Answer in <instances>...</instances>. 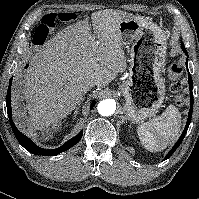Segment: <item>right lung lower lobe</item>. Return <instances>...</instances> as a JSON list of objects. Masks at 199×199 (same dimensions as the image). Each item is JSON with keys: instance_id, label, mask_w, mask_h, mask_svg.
Returning <instances> with one entry per match:
<instances>
[{"instance_id": "98d812e1", "label": "right lung lower lobe", "mask_w": 199, "mask_h": 199, "mask_svg": "<svg viewBox=\"0 0 199 199\" xmlns=\"http://www.w3.org/2000/svg\"><path fill=\"white\" fill-rule=\"evenodd\" d=\"M11 83H12V77H11L10 82H9L7 96H6L7 113H8V117H9V121H10L12 130H13L17 140L26 150H28L30 153H33V154H36V155L54 156V155H57L59 153H62L64 151L70 149L72 146H74L75 144H77L81 140L82 135H83V131H81L78 135H76L72 139L68 140L64 145H62L61 147L56 148V149L47 150V149L40 148L36 144H34L30 138L23 135L16 128V126L14 125V122L12 120L11 102H10V100H11V95H10V93H11ZM94 105H95V101H92L91 108Z\"/></svg>"}]
</instances>
